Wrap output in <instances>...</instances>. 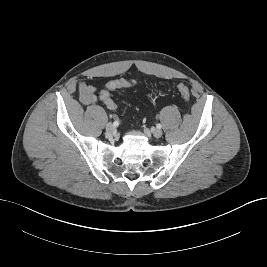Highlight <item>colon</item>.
<instances>
[{"label":"colon","mask_w":267,"mask_h":267,"mask_svg":"<svg viewBox=\"0 0 267 267\" xmlns=\"http://www.w3.org/2000/svg\"><path fill=\"white\" fill-rule=\"evenodd\" d=\"M136 83L134 81H129L125 79H118L110 81L106 84L105 88L100 93V98L103 103L111 110L116 109V103L113 101L111 93L112 91L120 88H131L134 87ZM177 89L185 100L190 99V90L184 84H178Z\"/></svg>","instance_id":"colon-1"}]
</instances>
